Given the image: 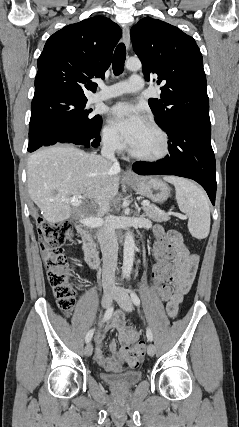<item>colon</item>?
Here are the masks:
<instances>
[{"label":"colon","mask_w":239,"mask_h":427,"mask_svg":"<svg viewBox=\"0 0 239 427\" xmlns=\"http://www.w3.org/2000/svg\"><path fill=\"white\" fill-rule=\"evenodd\" d=\"M40 235V248L47 270L48 281L52 287L58 307L69 313L74 304L80 284L73 282L74 270L68 265V254L64 249L73 238L74 231L69 222L52 223L43 218L37 219ZM151 254L154 262L151 266L152 282L150 288L158 298L169 297V285L172 276L173 259L169 252L170 237L161 224L154 226ZM122 356L131 367H136L144 357V344L139 342L132 347H125Z\"/></svg>","instance_id":"colon-1"}]
</instances>
